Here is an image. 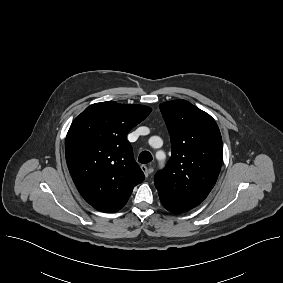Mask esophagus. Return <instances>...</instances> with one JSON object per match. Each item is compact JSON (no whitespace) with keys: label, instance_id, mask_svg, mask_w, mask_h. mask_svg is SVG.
<instances>
[{"label":"esophagus","instance_id":"obj_1","mask_svg":"<svg viewBox=\"0 0 283 283\" xmlns=\"http://www.w3.org/2000/svg\"><path fill=\"white\" fill-rule=\"evenodd\" d=\"M141 169L144 172L145 177H148L151 169H149L146 165H141Z\"/></svg>","mask_w":283,"mask_h":283}]
</instances>
